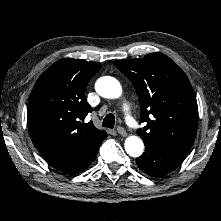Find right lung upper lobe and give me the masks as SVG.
I'll use <instances>...</instances> for the list:
<instances>
[{"label":"right lung upper lobe","mask_w":221,"mask_h":221,"mask_svg":"<svg viewBox=\"0 0 221 221\" xmlns=\"http://www.w3.org/2000/svg\"><path fill=\"white\" fill-rule=\"evenodd\" d=\"M101 64L71 58L61 59L39 77L27 106L30 138L45 159L58 158L67 152L107 137L90 121L92 111L85 99L89 80Z\"/></svg>","instance_id":"obj_1"}]
</instances>
